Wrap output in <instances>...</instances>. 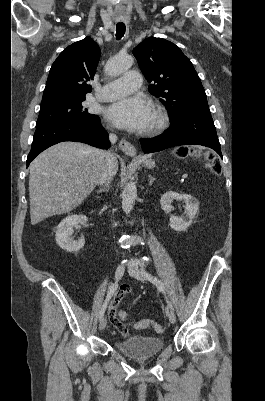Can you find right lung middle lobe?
<instances>
[{
  "mask_svg": "<svg viewBox=\"0 0 265 401\" xmlns=\"http://www.w3.org/2000/svg\"><path fill=\"white\" fill-rule=\"evenodd\" d=\"M84 100L85 97L68 98L41 104L36 126L47 122L56 121H83L99 123V116L90 114L88 109L82 105Z\"/></svg>",
  "mask_w": 265,
  "mask_h": 401,
  "instance_id": "1",
  "label": "right lung middle lobe"
}]
</instances>
